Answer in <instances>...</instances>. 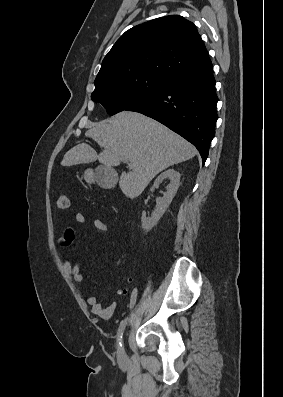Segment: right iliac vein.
Returning <instances> with one entry per match:
<instances>
[{"mask_svg":"<svg viewBox=\"0 0 283 397\" xmlns=\"http://www.w3.org/2000/svg\"><path fill=\"white\" fill-rule=\"evenodd\" d=\"M125 356H126V354H125L124 347H121V348L118 350V358H119L120 360H123V359L125 358Z\"/></svg>","mask_w":283,"mask_h":397,"instance_id":"right-iliac-vein-1","label":"right iliac vein"}]
</instances>
